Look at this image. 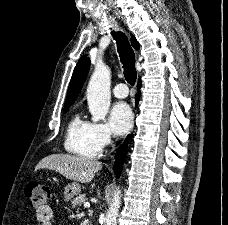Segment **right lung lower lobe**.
I'll return each mask as SVG.
<instances>
[{"mask_svg":"<svg viewBox=\"0 0 228 225\" xmlns=\"http://www.w3.org/2000/svg\"><path fill=\"white\" fill-rule=\"evenodd\" d=\"M140 86H141V81L138 82V87L140 88ZM139 96H140V93L138 92L136 94V105L138 103ZM128 141H129V136L124 141V144L119 147V149L116 153L115 162H114V172L116 173L118 178H119L120 173L122 171L124 154H125V150H126V146H127Z\"/></svg>","mask_w":228,"mask_h":225,"instance_id":"right-lung-lower-lobe-1","label":"right lung lower lobe"}]
</instances>
